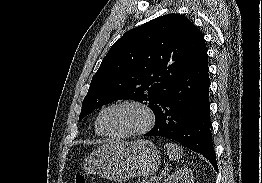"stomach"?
Wrapping results in <instances>:
<instances>
[{
  "mask_svg": "<svg viewBox=\"0 0 262 183\" xmlns=\"http://www.w3.org/2000/svg\"><path fill=\"white\" fill-rule=\"evenodd\" d=\"M160 162L158 148L148 140L111 139L85 159L83 169L87 174H100L108 180L123 182L131 177L153 174Z\"/></svg>",
  "mask_w": 262,
  "mask_h": 183,
  "instance_id": "stomach-1",
  "label": "stomach"
}]
</instances>
